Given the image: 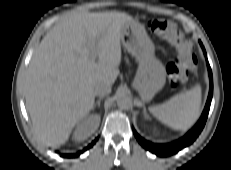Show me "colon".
Wrapping results in <instances>:
<instances>
[{
    "instance_id": "5ec220e1",
    "label": "colon",
    "mask_w": 231,
    "mask_h": 170,
    "mask_svg": "<svg viewBox=\"0 0 231 170\" xmlns=\"http://www.w3.org/2000/svg\"><path fill=\"white\" fill-rule=\"evenodd\" d=\"M148 27L154 33L168 40L179 52V59L169 75L171 85L176 86L185 78L186 69L192 62L191 45L171 22L151 20L148 22Z\"/></svg>"
}]
</instances>
